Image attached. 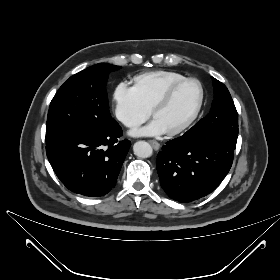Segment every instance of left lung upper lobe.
Segmentation results:
<instances>
[{
	"label": "left lung upper lobe",
	"mask_w": 280,
	"mask_h": 280,
	"mask_svg": "<svg viewBox=\"0 0 280 280\" xmlns=\"http://www.w3.org/2000/svg\"><path fill=\"white\" fill-rule=\"evenodd\" d=\"M214 100L210 112L185 135H206L233 146L238 137V113L226 86L212 77Z\"/></svg>",
	"instance_id": "left-lung-upper-lobe-1"
}]
</instances>
